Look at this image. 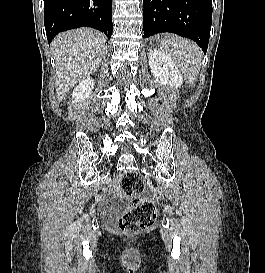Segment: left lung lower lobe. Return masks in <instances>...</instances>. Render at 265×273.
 Returning <instances> with one entry per match:
<instances>
[{
	"label": "left lung lower lobe",
	"instance_id": "1",
	"mask_svg": "<svg viewBox=\"0 0 265 273\" xmlns=\"http://www.w3.org/2000/svg\"><path fill=\"white\" fill-rule=\"evenodd\" d=\"M144 37L171 32L194 40L207 51L212 0H143Z\"/></svg>",
	"mask_w": 265,
	"mask_h": 273
}]
</instances>
